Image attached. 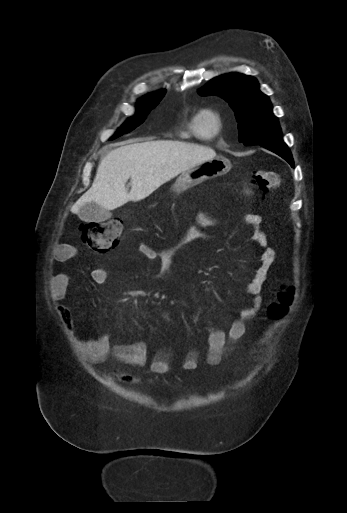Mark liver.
I'll use <instances>...</instances> for the list:
<instances>
[{
    "mask_svg": "<svg viewBox=\"0 0 347 513\" xmlns=\"http://www.w3.org/2000/svg\"><path fill=\"white\" fill-rule=\"evenodd\" d=\"M216 152L205 146L156 140L121 146L100 162L91 188L71 207L78 214L89 203L114 210L128 201H140L178 174L213 159ZM130 178L131 190L125 185Z\"/></svg>",
    "mask_w": 347,
    "mask_h": 513,
    "instance_id": "1",
    "label": "liver"
}]
</instances>
